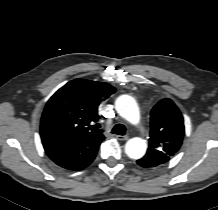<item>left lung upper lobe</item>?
<instances>
[{"label":"left lung upper lobe","instance_id":"1","mask_svg":"<svg viewBox=\"0 0 218 210\" xmlns=\"http://www.w3.org/2000/svg\"><path fill=\"white\" fill-rule=\"evenodd\" d=\"M184 136L181 112L171 99L159 101L151 111V131L146 155L152 166L164 164L179 150Z\"/></svg>","mask_w":218,"mask_h":210}]
</instances>
